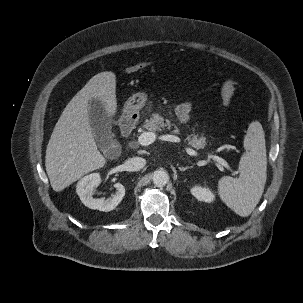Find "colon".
<instances>
[{
    "instance_id": "obj_1",
    "label": "colon",
    "mask_w": 303,
    "mask_h": 303,
    "mask_svg": "<svg viewBox=\"0 0 303 303\" xmlns=\"http://www.w3.org/2000/svg\"><path fill=\"white\" fill-rule=\"evenodd\" d=\"M149 66V63L140 62L135 65L129 66L125 68L127 73H133L137 71H141ZM235 91H236V83L234 80L230 78H225L221 85V97L225 106H230L235 98Z\"/></svg>"
}]
</instances>
